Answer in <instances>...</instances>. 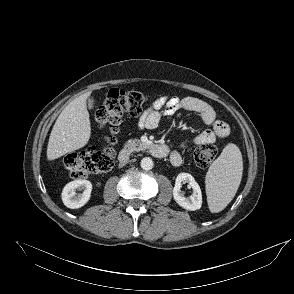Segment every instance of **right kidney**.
<instances>
[{
  "label": "right kidney",
  "instance_id": "ca27d5eb",
  "mask_svg": "<svg viewBox=\"0 0 294 294\" xmlns=\"http://www.w3.org/2000/svg\"><path fill=\"white\" fill-rule=\"evenodd\" d=\"M77 189H84L82 194L77 195ZM92 184L88 180L77 179L65 185L62 191V201L70 209L84 206L90 199Z\"/></svg>",
  "mask_w": 294,
  "mask_h": 294
}]
</instances>
